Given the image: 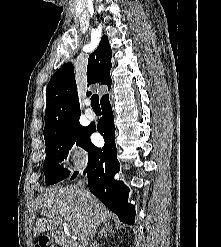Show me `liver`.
Instances as JSON below:
<instances>
[{
    "instance_id": "liver-1",
    "label": "liver",
    "mask_w": 221,
    "mask_h": 247,
    "mask_svg": "<svg viewBox=\"0 0 221 247\" xmlns=\"http://www.w3.org/2000/svg\"><path fill=\"white\" fill-rule=\"evenodd\" d=\"M35 209L43 217L35 222L34 236L63 224L78 237L81 247L89 244L101 223H109L106 207L91 194L84 197L77 186L50 189L37 198Z\"/></svg>"
}]
</instances>
